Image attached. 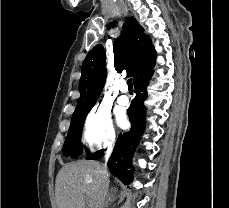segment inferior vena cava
Here are the masks:
<instances>
[{
    "instance_id": "inferior-vena-cava-1",
    "label": "inferior vena cava",
    "mask_w": 229,
    "mask_h": 208,
    "mask_svg": "<svg viewBox=\"0 0 229 208\" xmlns=\"http://www.w3.org/2000/svg\"><path fill=\"white\" fill-rule=\"evenodd\" d=\"M110 152H111V150H108V152H106V156H105L106 162H107V160H108V158L110 156ZM102 174H104L106 182H104V184L102 186V194H101V200L99 202V204H100L99 208H105V200H106V196H107V188L109 186L108 174H107L106 170H103Z\"/></svg>"
}]
</instances>
